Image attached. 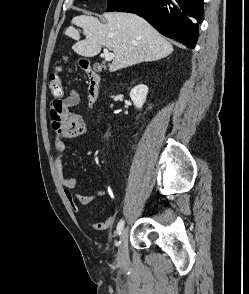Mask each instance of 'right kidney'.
Returning <instances> with one entry per match:
<instances>
[{"instance_id": "1", "label": "right kidney", "mask_w": 249, "mask_h": 294, "mask_svg": "<svg viewBox=\"0 0 249 294\" xmlns=\"http://www.w3.org/2000/svg\"><path fill=\"white\" fill-rule=\"evenodd\" d=\"M148 93V87L144 84H139L135 86L130 92V98L133 101L136 108H142L146 101Z\"/></svg>"}]
</instances>
